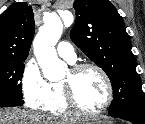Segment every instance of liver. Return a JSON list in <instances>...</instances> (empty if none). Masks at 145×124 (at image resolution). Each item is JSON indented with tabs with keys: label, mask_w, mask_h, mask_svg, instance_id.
Segmentation results:
<instances>
[{
	"label": "liver",
	"mask_w": 145,
	"mask_h": 124,
	"mask_svg": "<svg viewBox=\"0 0 145 124\" xmlns=\"http://www.w3.org/2000/svg\"><path fill=\"white\" fill-rule=\"evenodd\" d=\"M80 120L57 118L22 109H0V124H79Z\"/></svg>",
	"instance_id": "6515ba94"
}]
</instances>
